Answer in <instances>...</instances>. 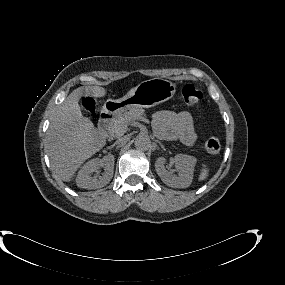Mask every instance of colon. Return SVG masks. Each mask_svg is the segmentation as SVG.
<instances>
[{
	"label": "colon",
	"instance_id": "5ec220e1",
	"mask_svg": "<svg viewBox=\"0 0 285 285\" xmlns=\"http://www.w3.org/2000/svg\"><path fill=\"white\" fill-rule=\"evenodd\" d=\"M182 96H183L184 102L187 105H191V106L198 104L203 97L202 92L196 87H194L193 85L184 86L182 89ZM93 105L94 103L90 98H86L84 100V106L88 110H92ZM220 148H221V141L218 137H215V136L210 137L205 142V149L207 150V152L211 154L218 153Z\"/></svg>",
	"mask_w": 285,
	"mask_h": 285
}]
</instances>
